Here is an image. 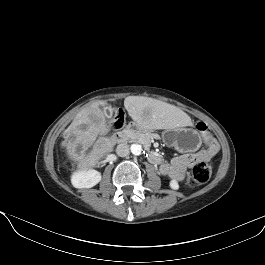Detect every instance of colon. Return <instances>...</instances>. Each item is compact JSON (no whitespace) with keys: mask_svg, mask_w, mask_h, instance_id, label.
Returning <instances> with one entry per match:
<instances>
[{"mask_svg":"<svg viewBox=\"0 0 265 265\" xmlns=\"http://www.w3.org/2000/svg\"><path fill=\"white\" fill-rule=\"evenodd\" d=\"M126 114L122 109H115L112 116L111 126L115 130H120L125 126ZM197 129L203 134L205 142L211 140L208 126L204 122L197 123ZM212 173V164L209 162H199L195 164L190 173V180L193 185L206 183Z\"/></svg>","mask_w":265,"mask_h":265,"instance_id":"1","label":"colon"}]
</instances>
